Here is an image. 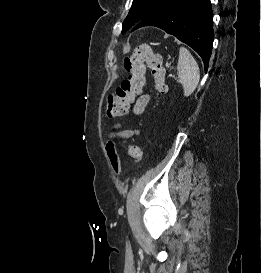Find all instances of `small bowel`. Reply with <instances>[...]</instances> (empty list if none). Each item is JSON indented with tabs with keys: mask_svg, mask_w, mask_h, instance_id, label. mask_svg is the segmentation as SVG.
<instances>
[{
	"mask_svg": "<svg viewBox=\"0 0 261 273\" xmlns=\"http://www.w3.org/2000/svg\"><path fill=\"white\" fill-rule=\"evenodd\" d=\"M150 99L151 97L149 94L141 95L134 105V113L137 115L142 114L149 104ZM115 129L117 130L116 133L111 135L112 138L106 144V153L110 160L111 167L114 173L118 175L121 172V164L114 138L127 140L133 138L134 136H137L139 134V131L137 129H122L120 124L115 125Z\"/></svg>",
	"mask_w": 261,
	"mask_h": 273,
	"instance_id": "c3829d8e",
	"label": "small bowel"
}]
</instances>
